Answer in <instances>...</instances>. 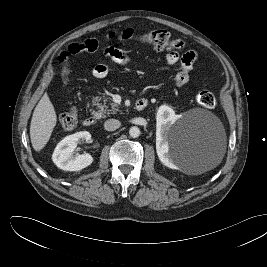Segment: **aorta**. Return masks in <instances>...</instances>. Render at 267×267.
<instances>
[{"instance_id": "1", "label": "aorta", "mask_w": 267, "mask_h": 267, "mask_svg": "<svg viewBox=\"0 0 267 267\" xmlns=\"http://www.w3.org/2000/svg\"><path fill=\"white\" fill-rule=\"evenodd\" d=\"M129 135L132 138H137L140 135V129L136 126L131 127L129 130Z\"/></svg>"}]
</instances>
